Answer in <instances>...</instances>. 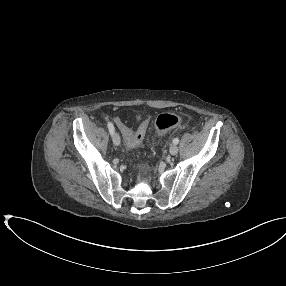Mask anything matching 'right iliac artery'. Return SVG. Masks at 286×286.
Masks as SVG:
<instances>
[{"mask_svg": "<svg viewBox=\"0 0 286 286\" xmlns=\"http://www.w3.org/2000/svg\"><path fill=\"white\" fill-rule=\"evenodd\" d=\"M107 127L109 129L110 134L112 135L115 131L113 124L111 122H108Z\"/></svg>", "mask_w": 286, "mask_h": 286, "instance_id": "obj_1", "label": "right iliac artery"}]
</instances>
